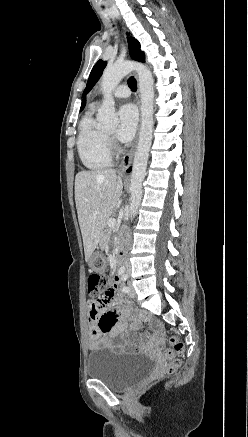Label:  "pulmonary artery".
Wrapping results in <instances>:
<instances>
[{
	"label": "pulmonary artery",
	"mask_w": 248,
	"mask_h": 437,
	"mask_svg": "<svg viewBox=\"0 0 248 437\" xmlns=\"http://www.w3.org/2000/svg\"><path fill=\"white\" fill-rule=\"evenodd\" d=\"M112 94L115 98H127L130 96L131 92L127 85L122 84L115 88Z\"/></svg>",
	"instance_id": "1"
}]
</instances>
